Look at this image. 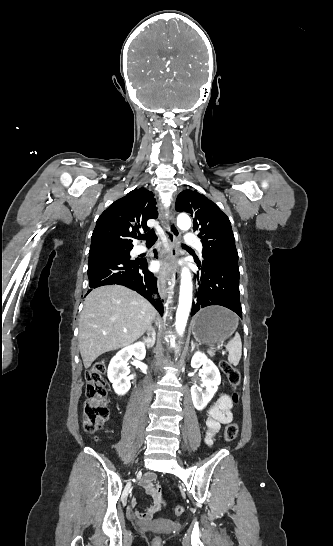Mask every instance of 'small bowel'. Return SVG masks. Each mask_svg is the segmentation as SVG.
<instances>
[{"instance_id": "small-bowel-1", "label": "small bowel", "mask_w": 333, "mask_h": 546, "mask_svg": "<svg viewBox=\"0 0 333 546\" xmlns=\"http://www.w3.org/2000/svg\"><path fill=\"white\" fill-rule=\"evenodd\" d=\"M233 420L232 400L227 394L221 395L215 404H213L206 419L205 442L211 445L215 436L220 431L222 425L228 424ZM142 487L151 497V505L144 511H135L134 515L142 521L150 520L163 506V495L161 489L156 484V474L149 472L142 480ZM136 500L132 501L135 507Z\"/></svg>"}]
</instances>
